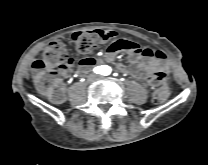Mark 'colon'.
<instances>
[{"mask_svg": "<svg viewBox=\"0 0 208 165\" xmlns=\"http://www.w3.org/2000/svg\"><path fill=\"white\" fill-rule=\"evenodd\" d=\"M105 39L102 30L78 31L72 36L76 49L87 54ZM73 63L67 49L57 42L47 46L42 58L33 61L31 68L34 80L39 89L53 100H60L64 95V87L59 80L57 70L66 69ZM169 86L163 85L153 93V101L157 104L165 102L170 96Z\"/></svg>", "mask_w": 208, "mask_h": 165, "instance_id": "obj_1", "label": "colon"}]
</instances>
